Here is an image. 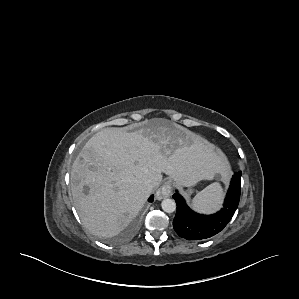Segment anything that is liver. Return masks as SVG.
<instances>
[{
    "label": "liver",
    "instance_id": "obj_1",
    "mask_svg": "<svg viewBox=\"0 0 299 299\" xmlns=\"http://www.w3.org/2000/svg\"><path fill=\"white\" fill-rule=\"evenodd\" d=\"M168 175L191 187L216 174L226 176L224 153L189 130L165 119L134 132L105 128L93 135L74 160L70 174L73 205L91 233L112 237L139 213L150 191ZM87 188V192L85 189Z\"/></svg>",
    "mask_w": 299,
    "mask_h": 299
}]
</instances>
